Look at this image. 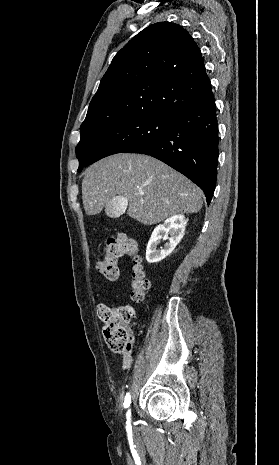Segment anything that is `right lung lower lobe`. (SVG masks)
<instances>
[{
	"label": "right lung lower lobe",
	"mask_w": 279,
	"mask_h": 465,
	"mask_svg": "<svg viewBox=\"0 0 279 465\" xmlns=\"http://www.w3.org/2000/svg\"><path fill=\"white\" fill-rule=\"evenodd\" d=\"M214 95L175 113L169 130L135 153L155 157L184 174L210 204L217 179L218 122Z\"/></svg>",
	"instance_id": "1"
}]
</instances>
